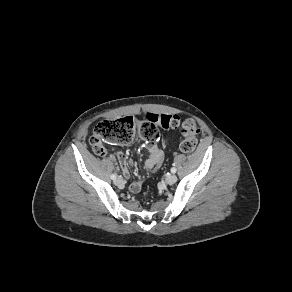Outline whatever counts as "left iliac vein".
Segmentation results:
<instances>
[{"label":"left iliac vein","instance_id":"1","mask_svg":"<svg viewBox=\"0 0 292 292\" xmlns=\"http://www.w3.org/2000/svg\"><path fill=\"white\" fill-rule=\"evenodd\" d=\"M177 181V176L172 174L166 178V183L169 185L174 184Z\"/></svg>","mask_w":292,"mask_h":292}]
</instances>
